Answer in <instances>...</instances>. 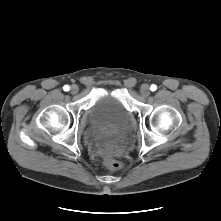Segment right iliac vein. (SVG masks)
I'll use <instances>...</instances> for the list:
<instances>
[{"label":"right iliac vein","mask_w":221,"mask_h":221,"mask_svg":"<svg viewBox=\"0 0 221 221\" xmlns=\"http://www.w3.org/2000/svg\"><path fill=\"white\" fill-rule=\"evenodd\" d=\"M78 91H79V88H78L77 85H72L71 86V93L72 94H76V93H78Z\"/></svg>","instance_id":"right-iliac-vein-1"}]
</instances>
